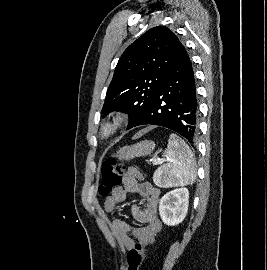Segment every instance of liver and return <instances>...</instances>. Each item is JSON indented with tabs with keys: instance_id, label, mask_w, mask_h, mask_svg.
I'll return each instance as SVG.
<instances>
[{
	"instance_id": "obj_1",
	"label": "liver",
	"mask_w": 267,
	"mask_h": 270,
	"mask_svg": "<svg viewBox=\"0 0 267 270\" xmlns=\"http://www.w3.org/2000/svg\"><path fill=\"white\" fill-rule=\"evenodd\" d=\"M145 132H146V130H144V131H142V132H139V133L135 136V138L141 136V135L144 134Z\"/></svg>"
}]
</instances>
